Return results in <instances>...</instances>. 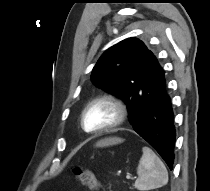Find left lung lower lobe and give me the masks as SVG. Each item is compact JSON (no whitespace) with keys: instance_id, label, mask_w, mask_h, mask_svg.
<instances>
[{"instance_id":"left-lung-lower-lobe-1","label":"left lung lower lobe","mask_w":210,"mask_h":191,"mask_svg":"<svg viewBox=\"0 0 210 191\" xmlns=\"http://www.w3.org/2000/svg\"><path fill=\"white\" fill-rule=\"evenodd\" d=\"M164 70L156 75V84L139 103L133 129L164 159L170 169L174 162L176 137L171 99L167 92Z\"/></svg>"}]
</instances>
